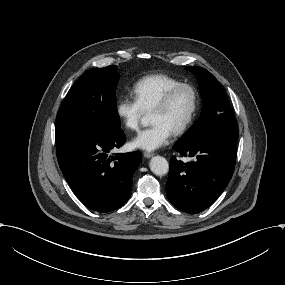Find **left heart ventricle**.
<instances>
[{
    "label": "left heart ventricle",
    "instance_id": "left-heart-ventricle-1",
    "mask_svg": "<svg viewBox=\"0 0 285 285\" xmlns=\"http://www.w3.org/2000/svg\"><path fill=\"white\" fill-rule=\"evenodd\" d=\"M192 104V94L188 88L179 89L170 105L165 109H155L150 112V121L162 122L171 129L180 123L188 114Z\"/></svg>",
    "mask_w": 285,
    "mask_h": 285
}]
</instances>
